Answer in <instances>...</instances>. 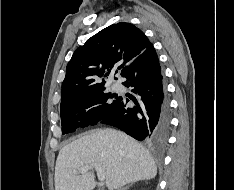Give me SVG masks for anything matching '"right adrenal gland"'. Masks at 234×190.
<instances>
[{"label":"right adrenal gland","mask_w":234,"mask_h":190,"mask_svg":"<svg viewBox=\"0 0 234 190\" xmlns=\"http://www.w3.org/2000/svg\"><path fill=\"white\" fill-rule=\"evenodd\" d=\"M134 182L129 183L128 185L124 186L123 188H120L119 190H127Z\"/></svg>","instance_id":"obj_1"}]
</instances>
